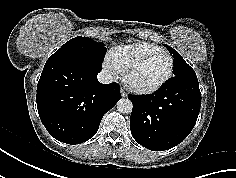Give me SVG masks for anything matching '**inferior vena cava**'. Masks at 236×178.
Returning a JSON list of instances; mask_svg holds the SVG:
<instances>
[{
  "mask_svg": "<svg viewBox=\"0 0 236 178\" xmlns=\"http://www.w3.org/2000/svg\"><path fill=\"white\" fill-rule=\"evenodd\" d=\"M98 81L102 84H109L113 82V76L108 70H102L98 74Z\"/></svg>",
  "mask_w": 236,
  "mask_h": 178,
  "instance_id": "inferior-vena-cava-1",
  "label": "inferior vena cava"
}]
</instances>
